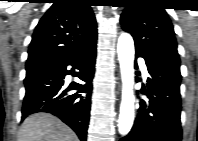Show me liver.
Wrapping results in <instances>:
<instances>
[{"label":"liver","mask_w":198,"mask_h":141,"mask_svg":"<svg viewBox=\"0 0 198 141\" xmlns=\"http://www.w3.org/2000/svg\"><path fill=\"white\" fill-rule=\"evenodd\" d=\"M18 141H78V138L57 117L48 113H37L23 121Z\"/></svg>","instance_id":"liver-1"}]
</instances>
